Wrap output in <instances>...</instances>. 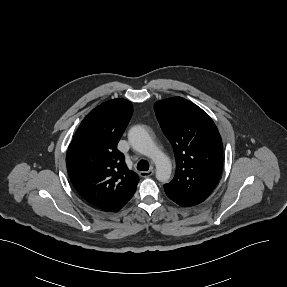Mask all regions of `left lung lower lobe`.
<instances>
[{"instance_id": "0a47b994", "label": "left lung lower lobe", "mask_w": 287, "mask_h": 287, "mask_svg": "<svg viewBox=\"0 0 287 287\" xmlns=\"http://www.w3.org/2000/svg\"><path fill=\"white\" fill-rule=\"evenodd\" d=\"M165 193L172 201H174L175 203H177L183 207L193 206V205L199 204V202H195V201L186 200L183 198L176 197L173 193L168 192L167 190H165Z\"/></svg>"}]
</instances>
